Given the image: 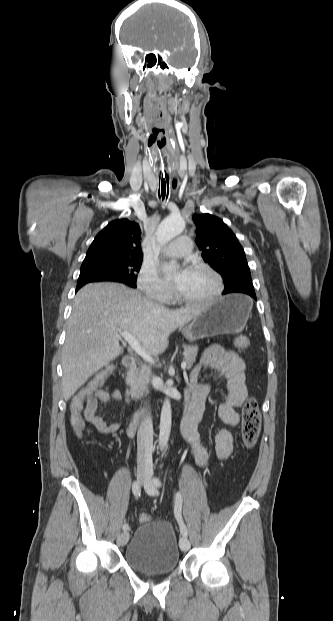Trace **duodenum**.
Segmentation results:
<instances>
[{"mask_svg": "<svg viewBox=\"0 0 333 621\" xmlns=\"http://www.w3.org/2000/svg\"><path fill=\"white\" fill-rule=\"evenodd\" d=\"M123 367L125 371L124 383L126 386V402H129V399L132 394L133 372L136 367L135 358L131 356H126L123 359ZM147 416L148 414L145 413V414H142L139 417V419L128 420L125 426V430L127 434L130 436H134L139 426V420H144L145 418H147ZM198 421H199V418L196 414H191L187 411L183 419L182 425L194 426L197 424Z\"/></svg>", "mask_w": 333, "mask_h": 621, "instance_id": "obj_1", "label": "duodenum"}]
</instances>
